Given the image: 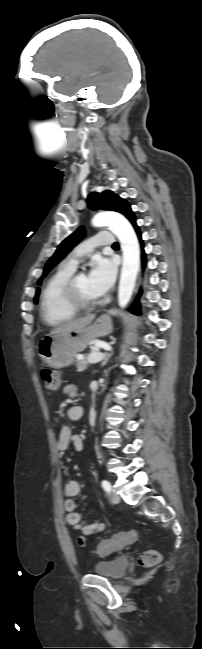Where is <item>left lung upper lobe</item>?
I'll return each mask as SVG.
<instances>
[{"mask_svg": "<svg viewBox=\"0 0 202 649\" xmlns=\"http://www.w3.org/2000/svg\"><path fill=\"white\" fill-rule=\"evenodd\" d=\"M87 204L92 210L101 208L104 210L120 212L128 220L132 215H134L129 203L112 191H104L102 193L94 192L89 194ZM84 235V229L79 228L59 245L55 254L48 260L44 268L43 276L38 280V285H41L42 278L45 277L46 274L68 254V252L84 237ZM39 293L40 289L37 288L34 298L35 303L38 302Z\"/></svg>", "mask_w": 202, "mask_h": 649, "instance_id": "1", "label": "left lung upper lobe"}]
</instances>
